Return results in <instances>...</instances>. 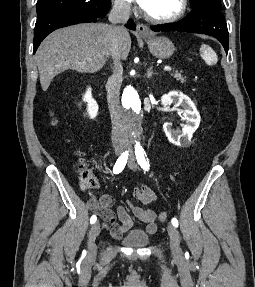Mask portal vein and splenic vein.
Wrapping results in <instances>:
<instances>
[{
  "label": "portal vein and splenic vein",
  "instance_id": "portal-vein-and-splenic-vein-1",
  "mask_svg": "<svg viewBox=\"0 0 255 287\" xmlns=\"http://www.w3.org/2000/svg\"><path fill=\"white\" fill-rule=\"evenodd\" d=\"M164 70H172V68H170V66H165Z\"/></svg>",
  "mask_w": 255,
  "mask_h": 287
}]
</instances>
